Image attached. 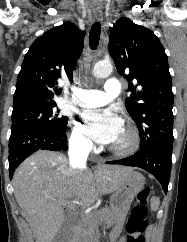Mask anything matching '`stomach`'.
<instances>
[{
    "label": "stomach",
    "instance_id": "0dacf381",
    "mask_svg": "<svg viewBox=\"0 0 187 242\" xmlns=\"http://www.w3.org/2000/svg\"><path fill=\"white\" fill-rule=\"evenodd\" d=\"M144 184V176L131 169L127 172L121 187L112 195L110 199L112 221L111 239L117 238L121 233L130 205Z\"/></svg>",
    "mask_w": 187,
    "mask_h": 242
}]
</instances>
